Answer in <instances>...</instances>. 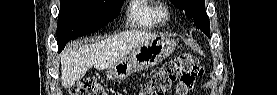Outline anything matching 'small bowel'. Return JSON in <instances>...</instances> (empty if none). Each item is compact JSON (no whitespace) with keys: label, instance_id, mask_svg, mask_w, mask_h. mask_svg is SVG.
I'll use <instances>...</instances> for the list:
<instances>
[{"label":"small bowel","instance_id":"1","mask_svg":"<svg viewBox=\"0 0 277 95\" xmlns=\"http://www.w3.org/2000/svg\"><path fill=\"white\" fill-rule=\"evenodd\" d=\"M194 83L195 81L193 78L180 80L175 86V93L182 95L189 94V92L194 89Z\"/></svg>","mask_w":277,"mask_h":95}]
</instances>
